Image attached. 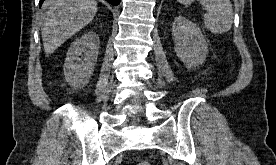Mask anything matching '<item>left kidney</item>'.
I'll return each instance as SVG.
<instances>
[{
  "instance_id": "1",
  "label": "left kidney",
  "mask_w": 276,
  "mask_h": 165,
  "mask_svg": "<svg viewBox=\"0 0 276 165\" xmlns=\"http://www.w3.org/2000/svg\"><path fill=\"white\" fill-rule=\"evenodd\" d=\"M175 52L188 69L206 60L208 47L200 28L183 16H177L172 25Z\"/></svg>"
}]
</instances>
